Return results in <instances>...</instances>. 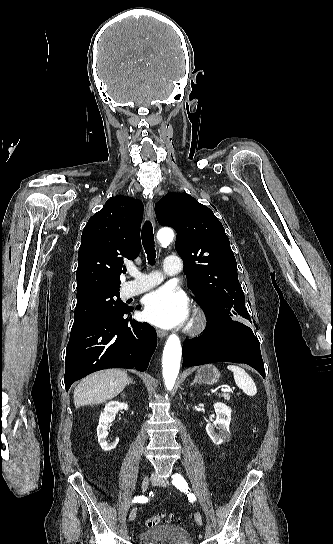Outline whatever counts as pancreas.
<instances>
[{
	"label": "pancreas",
	"mask_w": 333,
	"mask_h": 544,
	"mask_svg": "<svg viewBox=\"0 0 333 544\" xmlns=\"http://www.w3.org/2000/svg\"><path fill=\"white\" fill-rule=\"evenodd\" d=\"M222 397L224 398V400H230V395L227 393L222 394Z\"/></svg>",
	"instance_id": "obj_1"
}]
</instances>
